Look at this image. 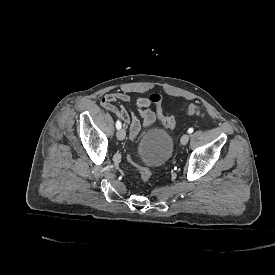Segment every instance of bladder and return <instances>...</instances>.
<instances>
[{
	"label": "bladder",
	"mask_w": 275,
	"mask_h": 275,
	"mask_svg": "<svg viewBox=\"0 0 275 275\" xmlns=\"http://www.w3.org/2000/svg\"><path fill=\"white\" fill-rule=\"evenodd\" d=\"M138 160L151 170L164 166L173 150V140L163 129H154L135 144Z\"/></svg>",
	"instance_id": "31cf9c89"
}]
</instances>
